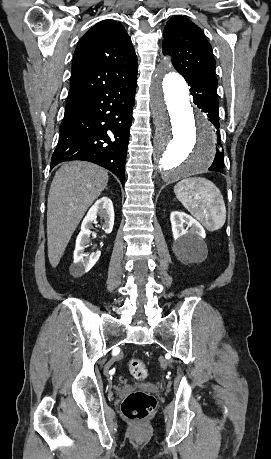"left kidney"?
<instances>
[{
	"label": "left kidney",
	"mask_w": 271,
	"mask_h": 459,
	"mask_svg": "<svg viewBox=\"0 0 271 459\" xmlns=\"http://www.w3.org/2000/svg\"><path fill=\"white\" fill-rule=\"evenodd\" d=\"M170 220L176 251H179V253L198 251L201 245V237H205V231L199 222L194 220L192 216L184 214V212H171Z\"/></svg>",
	"instance_id": "1"
}]
</instances>
